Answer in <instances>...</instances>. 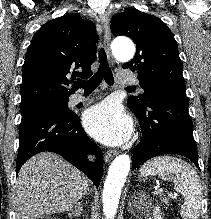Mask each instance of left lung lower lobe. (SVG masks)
Here are the masks:
<instances>
[{
	"label": "left lung lower lobe",
	"instance_id": "left-lung-lower-lobe-1",
	"mask_svg": "<svg viewBox=\"0 0 211 219\" xmlns=\"http://www.w3.org/2000/svg\"><path fill=\"white\" fill-rule=\"evenodd\" d=\"M188 105L183 92H158L149 95L143 110L134 112L143 138L134 148L133 169L164 154L185 156L199 168Z\"/></svg>",
	"mask_w": 211,
	"mask_h": 219
}]
</instances>
